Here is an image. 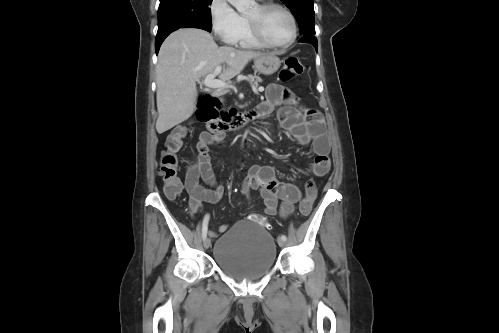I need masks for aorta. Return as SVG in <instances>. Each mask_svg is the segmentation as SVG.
<instances>
[{
	"label": "aorta",
	"mask_w": 499,
	"mask_h": 333,
	"mask_svg": "<svg viewBox=\"0 0 499 333\" xmlns=\"http://www.w3.org/2000/svg\"><path fill=\"white\" fill-rule=\"evenodd\" d=\"M228 2L240 13L246 12L254 4V0H228Z\"/></svg>",
	"instance_id": "1"
}]
</instances>
